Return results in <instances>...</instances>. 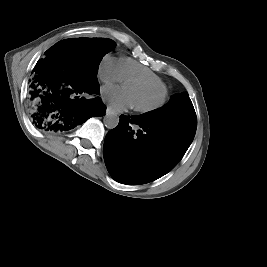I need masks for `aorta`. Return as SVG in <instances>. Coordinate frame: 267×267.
Instances as JSON below:
<instances>
[{"label":"aorta","instance_id":"1","mask_svg":"<svg viewBox=\"0 0 267 267\" xmlns=\"http://www.w3.org/2000/svg\"><path fill=\"white\" fill-rule=\"evenodd\" d=\"M104 125L108 129H114L119 123V117L114 113H107L103 119Z\"/></svg>","mask_w":267,"mask_h":267}]
</instances>
